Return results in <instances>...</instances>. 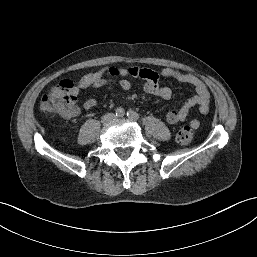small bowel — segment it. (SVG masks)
<instances>
[{
    "label": "small bowel",
    "instance_id": "small-bowel-1",
    "mask_svg": "<svg viewBox=\"0 0 257 257\" xmlns=\"http://www.w3.org/2000/svg\"><path fill=\"white\" fill-rule=\"evenodd\" d=\"M129 78H139L143 81L142 88L145 93L158 96L162 99H170L172 90L170 87L161 84V78L175 79L179 82L193 87L195 95L188 98L179 109H171L166 113V121L171 125H176L186 120L190 110L198 106L201 114H208L210 104V93L206 84L197 76L178 71L173 68H164L161 72L141 66H131L126 68L107 66L99 71L91 72L82 76L76 86V95L82 90H94L107 85H118L123 90L131 88ZM97 105L95 99H86L82 103L85 110H91ZM81 111L76 108L67 118H76ZM190 126L194 129L200 126V121L193 118Z\"/></svg>",
    "mask_w": 257,
    "mask_h": 257
}]
</instances>
